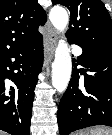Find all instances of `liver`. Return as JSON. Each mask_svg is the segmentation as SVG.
<instances>
[{"mask_svg": "<svg viewBox=\"0 0 112 135\" xmlns=\"http://www.w3.org/2000/svg\"><path fill=\"white\" fill-rule=\"evenodd\" d=\"M0 135H5V133H3V132L0 131Z\"/></svg>", "mask_w": 112, "mask_h": 135, "instance_id": "1", "label": "liver"}]
</instances>
